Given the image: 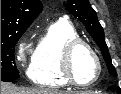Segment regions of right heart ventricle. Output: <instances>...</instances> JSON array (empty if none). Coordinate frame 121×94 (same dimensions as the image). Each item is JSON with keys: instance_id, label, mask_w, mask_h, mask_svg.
<instances>
[{"instance_id": "1", "label": "right heart ventricle", "mask_w": 121, "mask_h": 94, "mask_svg": "<svg viewBox=\"0 0 121 94\" xmlns=\"http://www.w3.org/2000/svg\"><path fill=\"white\" fill-rule=\"evenodd\" d=\"M76 37L75 28L66 20L49 25L32 55L29 78L34 84L46 88L68 86L60 71L61 50L66 41Z\"/></svg>"}]
</instances>
